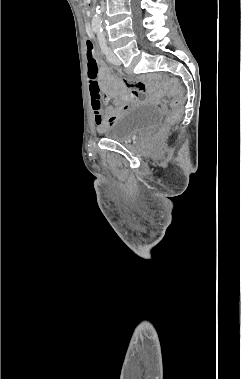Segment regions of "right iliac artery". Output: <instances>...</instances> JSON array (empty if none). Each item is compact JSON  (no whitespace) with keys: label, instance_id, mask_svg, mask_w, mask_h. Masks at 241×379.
<instances>
[{"label":"right iliac artery","instance_id":"1","mask_svg":"<svg viewBox=\"0 0 241 379\" xmlns=\"http://www.w3.org/2000/svg\"><path fill=\"white\" fill-rule=\"evenodd\" d=\"M94 31H95V32H97V31H98V29H94Z\"/></svg>","mask_w":241,"mask_h":379}]
</instances>
